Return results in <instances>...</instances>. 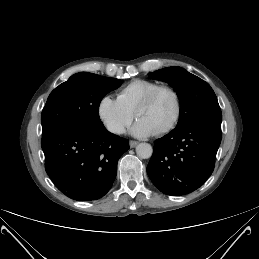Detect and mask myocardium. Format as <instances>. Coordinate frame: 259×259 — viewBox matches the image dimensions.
Returning <instances> with one entry per match:
<instances>
[{
	"label": "myocardium",
	"instance_id": "1",
	"mask_svg": "<svg viewBox=\"0 0 259 259\" xmlns=\"http://www.w3.org/2000/svg\"><path fill=\"white\" fill-rule=\"evenodd\" d=\"M162 91H168L173 95V97L175 99V103H176V112H175L174 118L166 127H164L163 129H161L159 131L153 132V134L155 136H161V135H165V134L171 132L177 126L178 122L180 121L181 113H182L181 97H180L178 91L174 87H171L169 85H157L154 89H152L145 96V98L140 103V105L136 111V114H135L136 119L137 120L140 119V116L142 115V113H144L147 109H149L151 107V105L154 103L157 95Z\"/></svg>",
	"mask_w": 259,
	"mask_h": 259
}]
</instances>
